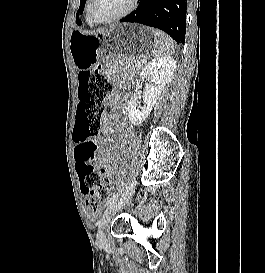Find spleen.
Returning a JSON list of instances; mask_svg holds the SVG:
<instances>
[{"label": "spleen", "instance_id": "3e777b00", "mask_svg": "<svg viewBox=\"0 0 265 273\" xmlns=\"http://www.w3.org/2000/svg\"><path fill=\"white\" fill-rule=\"evenodd\" d=\"M152 35L155 40L154 54L156 56L163 57L174 53V43L165 33L152 29Z\"/></svg>", "mask_w": 265, "mask_h": 273}]
</instances>
